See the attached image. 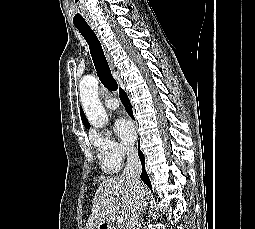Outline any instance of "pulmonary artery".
Listing matches in <instances>:
<instances>
[{
	"instance_id": "pulmonary-artery-1",
	"label": "pulmonary artery",
	"mask_w": 255,
	"mask_h": 229,
	"mask_svg": "<svg viewBox=\"0 0 255 229\" xmlns=\"http://www.w3.org/2000/svg\"><path fill=\"white\" fill-rule=\"evenodd\" d=\"M105 105L109 110H116L119 106V103L115 98H107Z\"/></svg>"
}]
</instances>
